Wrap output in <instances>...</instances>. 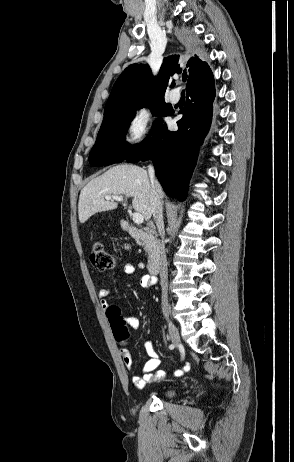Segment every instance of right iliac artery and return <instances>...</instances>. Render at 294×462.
Listing matches in <instances>:
<instances>
[{
  "label": "right iliac artery",
  "mask_w": 294,
  "mask_h": 462,
  "mask_svg": "<svg viewBox=\"0 0 294 462\" xmlns=\"http://www.w3.org/2000/svg\"><path fill=\"white\" fill-rule=\"evenodd\" d=\"M169 348H170V349H173V348H174V345H173V344H171V345L169 346Z\"/></svg>",
  "instance_id": "1"
}]
</instances>
